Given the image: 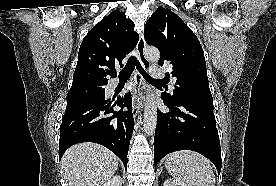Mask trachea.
<instances>
[{
	"label": "trachea",
	"mask_w": 276,
	"mask_h": 186,
	"mask_svg": "<svg viewBox=\"0 0 276 186\" xmlns=\"http://www.w3.org/2000/svg\"><path fill=\"white\" fill-rule=\"evenodd\" d=\"M135 67L138 69L140 74L148 81V82H156V83H163L161 80H157L149 76L144 68L139 63L138 59L135 56H131L125 65V67L119 73V81H127L132 72L134 71Z\"/></svg>",
	"instance_id": "trachea-1"
}]
</instances>
